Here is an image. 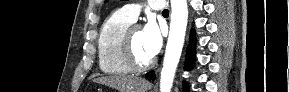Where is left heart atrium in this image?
Masks as SVG:
<instances>
[{
  "mask_svg": "<svg viewBox=\"0 0 289 92\" xmlns=\"http://www.w3.org/2000/svg\"><path fill=\"white\" fill-rule=\"evenodd\" d=\"M143 37L145 48L153 58L162 47L163 29L154 19L150 18L143 28Z\"/></svg>",
  "mask_w": 289,
  "mask_h": 92,
  "instance_id": "39dd6f15",
  "label": "left heart atrium"
}]
</instances>
